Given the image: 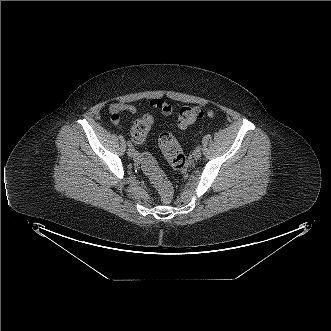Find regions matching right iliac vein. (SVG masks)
<instances>
[{"label":"right iliac vein","instance_id":"63e3f726","mask_svg":"<svg viewBox=\"0 0 331 331\" xmlns=\"http://www.w3.org/2000/svg\"><path fill=\"white\" fill-rule=\"evenodd\" d=\"M127 154L130 157H136L137 156V151L133 147H129L127 150Z\"/></svg>","mask_w":331,"mask_h":331}]
</instances>
